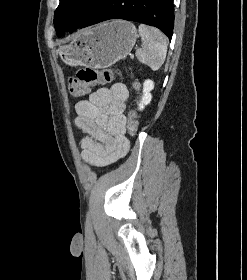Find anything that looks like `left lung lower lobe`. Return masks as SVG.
<instances>
[{"mask_svg": "<svg viewBox=\"0 0 247 280\" xmlns=\"http://www.w3.org/2000/svg\"><path fill=\"white\" fill-rule=\"evenodd\" d=\"M116 18L155 26L171 40L174 28L173 0H104L78 28Z\"/></svg>", "mask_w": 247, "mask_h": 280, "instance_id": "obj_1", "label": "left lung lower lobe"}]
</instances>
